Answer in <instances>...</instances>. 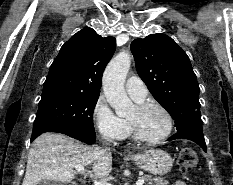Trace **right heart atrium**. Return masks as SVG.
Listing matches in <instances>:
<instances>
[{"label":"right heart atrium","instance_id":"d8ad5b80","mask_svg":"<svg viewBox=\"0 0 233 185\" xmlns=\"http://www.w3.org/2000/svg\"><path fill=\"white\" fill-rule=\"evenodd\" d=\"M92 120L96 133L106 141L118 142L127 136V121L114 113L103 96L94 104Z\"/></svg>","mask_w":233,"mask_h":185}]
</instances>
